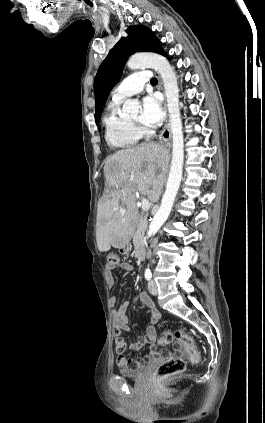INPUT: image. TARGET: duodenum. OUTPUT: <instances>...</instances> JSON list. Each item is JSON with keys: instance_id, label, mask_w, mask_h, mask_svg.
<instances>
[{"instance_id": "obj_1", "label": "duodenum", "mask_w": 265, "mask_h": 423, "mask_svg": "<svg viewBox=\"0 0 265 423\" xmlns=\"http://www.w3.org/2000/svg\"><path fill=\"white\" fill-rule=\"evenodd\" d=\"M144 255H145V249L142 245V242L140 239H137L135 243V257L137 259H141L144 257Z\"/></svg>"}]
</instances>
